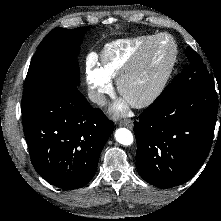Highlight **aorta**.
<instances>
[{
    "mask_svg": "<svg viewBox=\"0 0 221 221\" xmlns=\"http://www.w3.org/2000/svg\"><path fill=\"white\" fill-rule=\"evenodd\" d=\"M115 139L118 143L129 146L133 143V135L130 130L126 128H119L115 132Z\"/></svg>",
    "mask_w": 221,
    "mask_h": 221,
    "instance_id": "762f6f07",
    "label": "aorta"
}]
</instances>
